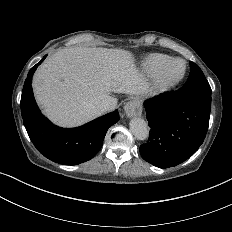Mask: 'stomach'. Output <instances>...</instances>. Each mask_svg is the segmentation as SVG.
Listing matches in <instances>:
<instances>
[{"instance_id":"0dacf381","label":"stomach","mask_w":232,"mask_h":232,"mask_svg":"<svg viewBox=\"0 0 232 232\" xmlns=\"http://www.w3.org/2000/svg\"><path fill=\"white\" fill-rule=\"evenodd\" d=\"M135 101H137V102H139V103H141L142 102V100L141 99H135ZM141 105V104H140Z\"/></svg>"}]
</instances>
